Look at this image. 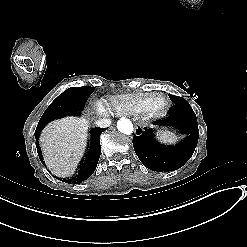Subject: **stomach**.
Instances as JSON below:
<instances>
[{
	"mask_svg": "<svg viewBox=\"0 0 247 247\" xmlns=\"http://www.w3.org/2000/svg\"><path fill=\"white\" fill-rule=\"evenodd\" d=\"M160 121H161L160 119H157V120H156V124H155L154 126H158L159 123H160Z\"/></svg>",
	"mask_w": 247,
	"mask_h": 247,
	"instance_id": "stomach-1",
	"label": "stomach"
}]
</instances>
